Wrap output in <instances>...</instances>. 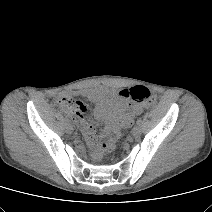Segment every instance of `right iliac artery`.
<instances>
[{"label": "right iliac artery", "mask_w": 212, "mask_h": 212, "mask_svg": "<svg viewBox=\"0 0 212 212\" xmlns=\"http://www.w3.org/2000/svg\"><path fill=\"white\" fill-rule=\"evenodd\" d=\"M65 122H66L67 124H69V120H68V119H66Z\"/></svg>", "instance_id": "82829eb1"}]
</instances>
